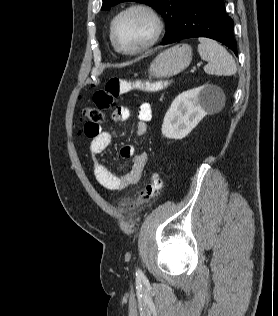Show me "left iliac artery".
I'll return each instance as SVG.
<instances>
[{
    "mask_svg": "<svg viewBox=\"0 0 278 316\" xmlns=\"http://www.w3.org/2000/svg\"><path fill=\"white\" fill-rule=\"evenodd\" d=\"M136 275H137L138 277H142V276H143V273H142V271H141L140 269H138L137 272H136Z\"/></svg>",
    "mask_w": 278,
    "mask_h": 316,
    "instance_id": "44dca946",
    "label": "left iliac artery"
}]
</instances>
